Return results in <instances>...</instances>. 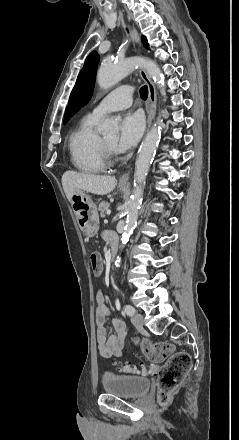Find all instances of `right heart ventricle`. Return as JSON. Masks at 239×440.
Listing matches in <instances>:
<instances>
[{"instance_id":"obj_1","label":"right heart ventricle","mask_w":239,"mask_h":440,"mask_svg":"<svg viewBox=\"0 0 239 440\" xmlns=\"http://www.w3.org/2000/svg\"><path fill=\"white\" fill-rule=\"evenodd\" d=\"M95 121V118L85 116L71 132L68 140V151L73 167L89 174L101 173L106 168L100 138L93 130Z\"/></svg>"}]
</instances>
